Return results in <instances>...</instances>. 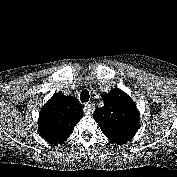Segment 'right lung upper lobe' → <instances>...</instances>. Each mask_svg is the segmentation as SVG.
Listing matches in <instances>:
<instances>
[{"instance_id": "1", "label": "right lung upper lobe", "mask_w": 177, "mask_h": 177, "mask_svg": "<svg viewBox=\"0 0 177 177\" xmlns=\"http://www.w3.org/2000/svg\"><path fill=\"white\" fill-rule=\"evenodd\" d=\"M82 117V105L75 97L55 93L39 114L40 135L51 144L62 143Z\"/></svg>"}]
</instances>
